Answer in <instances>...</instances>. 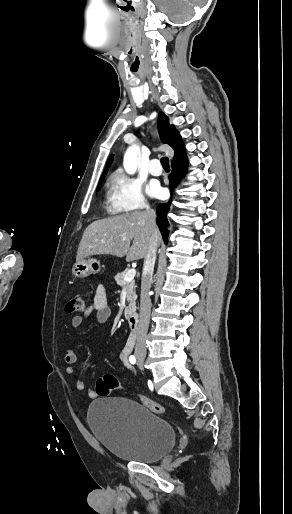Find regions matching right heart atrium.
<instances>
[{
	"label": "right heart atrium",
	"mask_w": 292,
	"mask_h": 514,
	"mask_svg": "<svg viewBox=\"0 0 292 514\" xmlns=\"http://www.w3.org/2000/svg\"><path fill=\"white\" fill-rule=\"evenodd\" d=\"M143 180L139 177L118 172L112 178L109 194L114 205L121 209H144L146 199L143 193Z\"/></svg>",
	"instance_id": "1"
}]
</instances>
